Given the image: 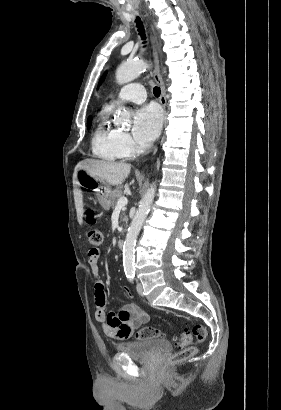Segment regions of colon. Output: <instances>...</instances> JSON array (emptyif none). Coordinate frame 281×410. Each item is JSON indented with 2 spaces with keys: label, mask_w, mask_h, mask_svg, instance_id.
Segmentation results:
<instances>
[{
  "label": "colon",
  "mask_w": 281,
  "mask_h": 410,
  "mask_svg": "<svg viewBox=\"0 0 281 410\" xmlns=\"http://www.w3.org/2000/svg\"><path fill=\"white\" fill-rule=\"evenodd\" d=\"M95 220V216L93 212L90 210L88 211V221L93 222ZM88 240L91 245L99 246L102 243L103 236L100 230L98 229H89L87 232ZM163 333L154 327H143L136 331L135 337L137 340H145V339H152V338H161ZM207 337V330L202 325H195L192 329L185 325L183 332L179 335L176 340V344L179 348V351L172 354L170 356V363L171 364H178L181 363L189 358H191L196 349L192 346L194 338L198 342H202Z\"/></svg>",
  "instance_id": "1"
}]
</instances>
